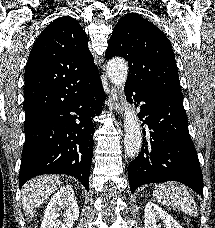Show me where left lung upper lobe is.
I'll return each mask as SVG.
<instances>
[{"mask_svg": "<svg viewBox=\"0 0 215 228\" xmlns=\"http://www.w3.org/2000/svg\"><path fill=\"white\" fill-rule=\"evenodd\" d=\"M114 56L128 61L126 85L147 91L182 94L168 38L140 15L127 14L116 24L105 53L107 59Z\"/></svg>", "mask_w": 215, "mask_h": 228, "instance_id": "1", "label": "left lung upper lobe"}]
</instances>
